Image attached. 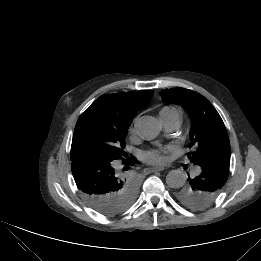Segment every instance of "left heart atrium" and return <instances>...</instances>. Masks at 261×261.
Returning <instances> with one entry per match:
<instances>
[{
  "label": "left heart atrium",
  "mask_w": 261,
  "mask_h": 261,
  "mask_svg": "<svg viewBox=\"0 0 261 261\" xmlns=\"http://www.w3.org/2000/svg\"><path fill=\"white\" fill-rule=\"evenodd\" d=\"M172 150L171 147H161L151 149L143 154V160L148 164L164 165L168 162V154Z\"/></svg>",
  "instance_id": "left-heart-atrium-1"
}]
</instances>
